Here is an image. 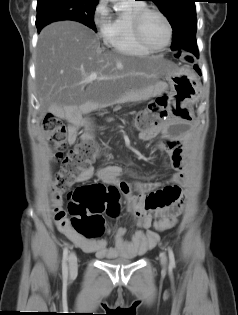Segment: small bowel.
Returning a JSON list of instances; mask_svg holds the SVG:
<instances>
[{"mask_svg":"<svg viewBox=\"0 0 238 315\" xmlns=\"http://www.w3.org/2000/svg\"><path fill=\"white\" fill-rule=\"evenodd\" d=\"M79 124V118L72 120L69 129L70 143H74L77 139ZM93 125V123H89L88 127L92 128ZM158 133H162L167 140L157 138L153 145L161 147L165 151L164 167L175 171L166 183L154 182L152 181L153 177H140L132 170L117 164H105L97 170L89 166L81 171L74 180L76 183H85L96 176L102 182L113 184L119 189L126 200V213L132 216L138 227L130 239L126 238V229L123 226L109 229V234L114 238L112 246H109L105 239H88L81 233H75L74 229H71L69 218L61 209L62 193L56 192L51 196L53 216L57 228L82 250L93 252L99 258H135L155 246L159 240V235L150 229L153 219H156L157 223L166 222L168 224L167 229L177 223V217L184 200L180 185L187 183L189 179L185 142L174 140L172 136L167 134L165 127L140 131L138 137L141 141L147 142ZM123 176L136 178V181H124Z\"/></svg>","mask_w":238,"mask_h":315,"instance_id":"c3829d8e","label":"small bowel"}]
</instances>
